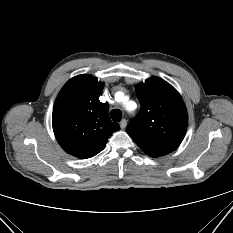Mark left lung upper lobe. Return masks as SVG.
<instances>
[{
  "label": "left lung upper lobe",
  "mask_w": 233,
  "mask_h": 233,
  "mask_svg": "<svg viewBox=\"0 0 233 233\" xmlns=\"http://www.w3.org/2000/svg\"><path fill=\"white\" fill-rule=\"evenodd\" d=\"M136 93L141 110L127 126L128 134L151 157L174 151L182 142L188 125L181 96L159 77L136 85Z\"/></svg>",
  "instance_id": "left-lung-upper-lobe-1"
}]
</instances>
